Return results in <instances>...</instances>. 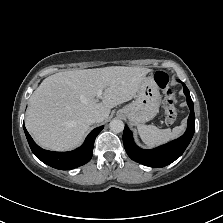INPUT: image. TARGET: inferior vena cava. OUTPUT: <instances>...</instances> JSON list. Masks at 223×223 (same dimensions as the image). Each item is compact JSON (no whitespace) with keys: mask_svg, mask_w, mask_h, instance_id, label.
<instances>
[{"mask_svg":"<svg viewBox=\"0 0 223 223\" xmlns=\"http://www.w3.org/2000/svg\"><path fill=\"white\" fill-rule=\"evenodd\" d=\"M89 117H90V121L93 123H100L104 120L103 114H101L98 111L91 112Z\"/></svg>","mask_w":223,"mask_h":223,"instance_id":"602c4592","label":"inferior vena cava"}]
</instances>
